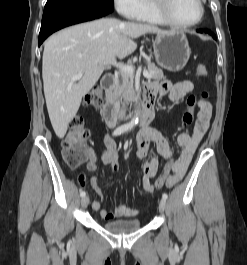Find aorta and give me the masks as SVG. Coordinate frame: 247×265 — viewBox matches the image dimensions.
Returning <instances> with one entry per match:
<instances>
[{"label": "aorta", "mask_w": 247, "mask_h": 265, "mask_svg": "<svg viewBox=\"0 0 247 265\" xmlns=\"http://www.w3.org/2000/svg\"><path fill=\"white\" fill-rule=\"evenodd\" d=\"M138 121H139V112L137 111V112L135 113L134 118L132 119V123H133V124H138Z\"/></svg>", "instance_id": "obj_1"}]
</instances>
